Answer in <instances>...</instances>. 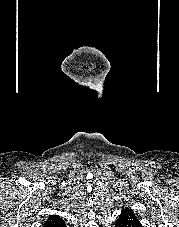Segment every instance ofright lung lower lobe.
Listing matches in <instances>:
<instances>
[{"label": "right lung lower lobe", "mask_w": 179, "mask_h": 227, "mask_svg": "<svg viewBox=\"0 0 179 227\" xmlns=\"http://www.w3.org/2000/svg\"><path fill=\"white\" fill-rule=\"evenodd\" d=\"M60 227H66L65 224L64 225H60Z\"/></svg>", "instance_id": "1"}]
</instances>
